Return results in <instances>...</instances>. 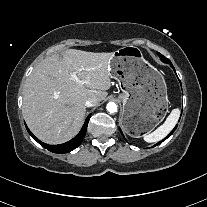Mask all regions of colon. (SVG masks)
<instances>
[{"instance_id": "5ec220e1", "label": "colon", "mask_w": 207, "mask_h": 207, "mask_svg": "<svg viewBox=\"0 0 207 207\" xmlns=\"http://www.w3.org/2000/svg\"><path fill=\"white\" fill-rule=\"evenodd\" d=\"M154 71L161 73L160 69L158 67H154Z\"/></svg>"}]
</instances>
